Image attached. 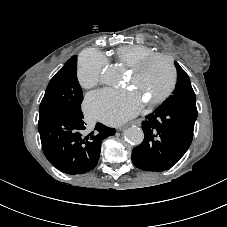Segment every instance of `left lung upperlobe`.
I'll use <instances>...</instances> for the list:
<instances>
[{
  "label": "left lung upper lobe",
  "instance_id": "1",
  "mask_svg": "<svg viewBox=\"0 0 227 227\" xmlns=\"http://www.w3.org/2000/svg\"><path fill=\"white\" fill-rule=\"evenodd\" d=\"M178 80L173 94L160 107L181 104L196 107V96L187 73L176 62Z\"/></svg>",
  "mask_w": 227,
  "mask_h": 227
}]
</instances>
